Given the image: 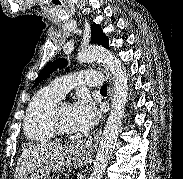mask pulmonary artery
<instances>
[{
	"instance_id": "pulmonary-artery-1",
	"label": "pulmonary artery",
	"mask_w": 183,
	"mask_h": 179,
	"mask_svg": "<svg viewBox=\"0 0 183 179\" xmlns=\"http://www.w3.org/2000/svg\"><path fill=\"white\" fill-rule=\"evenodd\" d=\"M102 84L103 78L101 73L93 70H85L61 76L53 80L49 87L63 97L76 85L99 87Z\"/></svg>"
}]
</instances>
